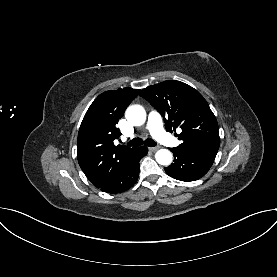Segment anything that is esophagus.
<instances>
[{
	"label": "esophagus",
	"mask_w": 277,
	"mask_h": 277,
	"mask_svg": "<svg viewBox=\"0 0 277 277\" xmlns=\"http://www.w3.org/2000/svg\"><path fill=\"white\" fill-rule=\"evenodd\" d=\"M159 149V147H149V150L155 152Z\"/></svg>",
	"instance_id": "obj_1"
}]
</instances>
